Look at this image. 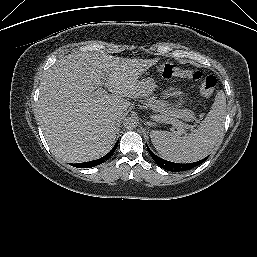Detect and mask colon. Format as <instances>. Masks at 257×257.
Here are the masks:
<instances>
[{
	"instance_id": "5ec220e1",
	"label": "colon",
	"mask_w": 257,
	"mask_h": 257,
	"mask_svg": "<svg viewBox=\"0 0 257 257\" xmlns=\"http://www.w3.org/2000/svg\"><path fill=\"white\" fill-rule=\"evenodd\" d=\"M158 73L165 79H172L175 77L188 78L192 81L201 80L199 92L202 97L203 103L207 104L211 100L217 80L214 76L208 75L202 78V74L199 71L183 70L175 65L164 63L157 66Z\"/></svg>"
}]
</instances>
